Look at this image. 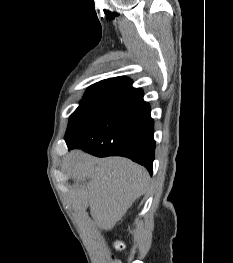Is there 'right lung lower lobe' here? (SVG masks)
<instances>
[{
	"instance_id": "1",
	"label": "right lung lower lobe",
	"mask_w": 233,
	"mask_h": 263,
	"mask_svg": "<svg viewBox=\"0 0 233 263\" xmlns=\"http://www.w3.org/2000/svg\"><path fill=\"white\" fill-rule=\"evenodd\" d=\"M68 149L81 148L99 157L119 155L143 165L152 174L155 140L150 106L134 88L117 97L103 117Z\"/></svg>"
}]
</instances>
